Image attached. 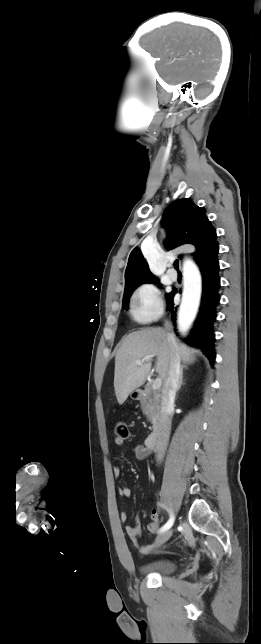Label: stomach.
Here are the masks:
<instances>
[{
  "instance_id": "1",
  "label": "stomach",
  "mask_w": 261,
  "mask_h": 644,
  "mask_svg": "<svg viewBox=\"0 0 261 644\" xmlns=\"http://www.w3.org/2000/svg\"><path fill=\"white\" fill-rule=\"evenodd\" d=\"M131 396H132L133 398H136V397H137V393H132V395H131Z\"/></svg>"
}]
</instances>
